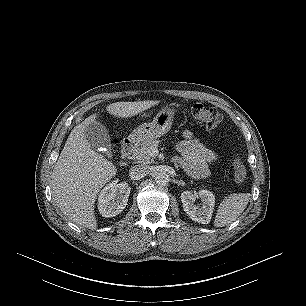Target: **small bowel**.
<instances>
[{
    "instance_id": "1",
    "label": "small bowel",
    "mask_w": 306,
    "mask_h": 306,
    "mask_svg": "<svg viewBox=\"0 0 306 306\" xmlns=\"http://www.w3.org/2000/svg\"><path fill=\"white\" fill-rule=\"evenodd\" d=\"M176 147L182 155L179 163L189 174L198 178L209 176V167L217 160V155L207 148L205 143L195 138L191 131L186 130L183 139L177 142Z\"/></svg>"
}]
</instances>
